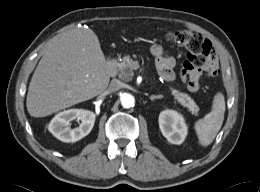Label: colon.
<instances>
[{"label":"colon","instance_id":"obj_1","mask_svg":"<svg viewBox=\"0 0 260 192\" xmlns=\"http://www.w3.org/2000/svg\"><path fill=\"white\" fill-rule=\"evenodd\" d=\"M165 37L169 42L187 50V58L183 62L180 74L188 89L195 90L199 73L206 66L215 67L217 65L211 42L189 30L170 31L166 33Z\"/></svg>","mask_w":260,"mask_h":192}]
</instances>
